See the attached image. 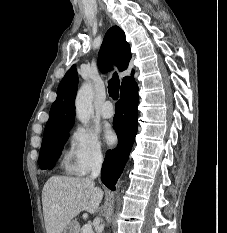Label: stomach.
<instances>
[{
  "instance_id": "stomach-1",
  "label": "stomach",
  "mask_w": 227,
  "mask_h": 233,
  "mask_svg": "<svg viewBox=\"0 0 227 233\" xmlns=\"http://www.w3.org/2000/svg\"><path fill=\"white\" fill-rule=\"evenodd\" d=\"M63 233H79V225L76 221H71L66 228L64 229Z\"/></svg>"
}]
</instances>
